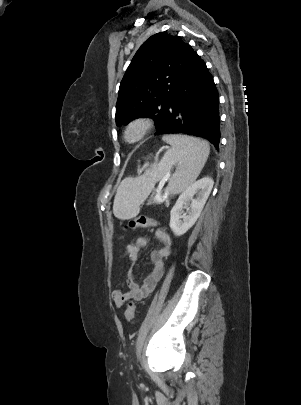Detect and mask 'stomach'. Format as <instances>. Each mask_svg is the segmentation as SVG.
Listing matches in <instances>:
<instances>
[{
    "label": "stomach",
    "instance_id": "1",
    "mask_svg": "<svg viewBox=\"0 0 301 405\" xmlns=\"http://www.w3.org/2000/svg\"><path fill=\"white\" fill-rule=\"evenodd\" d=\"M164 149H167V151L169 150L168 147H162V148L159 150V152L156 154V156H155V160H156V161L158 160V155H159V153H160L162 150H164ZM145 166H148V163H147Z\"/></svg>",
    "mask_w": 301,
    "mask_h": 405
}]
</instances>
